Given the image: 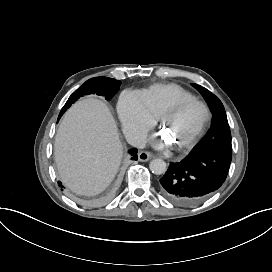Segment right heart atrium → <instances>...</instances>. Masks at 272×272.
Returning a JSON list of instances; mask_svg holds the SVG:
<instances>
[{"mask_svg": "<svg viewBox=\"0 0 272 272\" xmlns=\"http://www.w3.org/2000/svg\"><path fill=\"white\" fill-rule=\"evenodd\" d=\"M119 109L124 128L133 138L143 136L157 122V117L139 93L124 91L119 100Z\"/></svg>", "mask_w": 272, "mask_h": 272, "instance_id": "1", "label": "right heart atrium"}]
</instances>
